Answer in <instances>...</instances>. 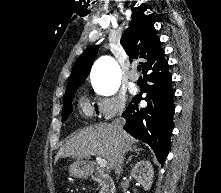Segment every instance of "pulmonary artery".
<instances>
[{"label":"pulmonary artery","instance_id":"pulmonary-artery-1","mask_svg":"<svg viewBox=\"0 0 221 193\" xmlns=\"http://www.w3.org/2000/svg\"><path fill=\"white\" fill-rule=\"evenodd\" d=\"M129 80L132 81V82H136L139 78V75L136 71H131L130 74H129Z\"/></svg>","mask_w":221,"mask_h":193}]
</instances>
